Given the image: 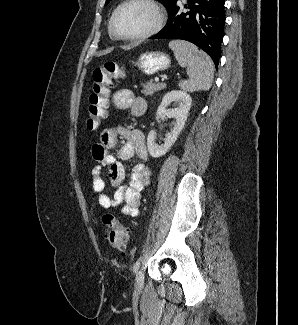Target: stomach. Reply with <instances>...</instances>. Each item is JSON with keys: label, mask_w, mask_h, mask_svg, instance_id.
I'll return each mask as SVG.
<instances>
[{"label": "stomach", "mask_w": 298, "mask_h": 325, "mask_svg": "<svg viewBox=\"0 0 298 325\" xmlns=\"http://www.w3.org/2000/svg\"><path fill=\"white\" fill-rule=\"evenodd\" d=\"M133 66H137L143 74H156L171 66V56L162 50H143L136 60H133Z\"/></svg>", "instance_id": "stomach-1"}]
</instances>
